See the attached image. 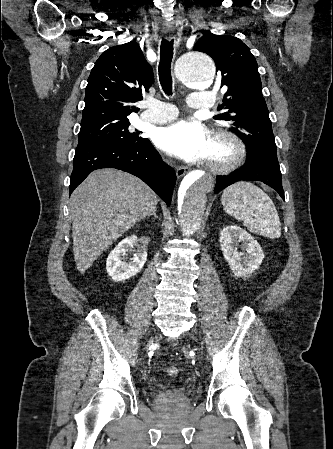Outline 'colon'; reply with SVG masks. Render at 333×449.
Returning a JSON list of instances; mask_svg holds the SVG:
<instances>
[{
  "instance_id": "colon-1",
  "label": "colon",
  "mask_w": 333,
  "mask_h": 449,
  "mask_svg": "<svg viewBox=\"0 0 333 449\" xmlns=\"http://www.w3.org/2000/svg\"><path fill=\"white\" fill-rule=\"evenodd\" d=\"M166 374L170 378H175L178 375V369L175 366H168L166 369Z\"/></svg>"
}]
</instances>
